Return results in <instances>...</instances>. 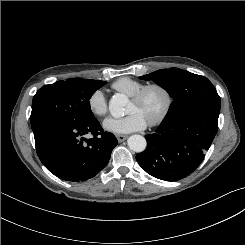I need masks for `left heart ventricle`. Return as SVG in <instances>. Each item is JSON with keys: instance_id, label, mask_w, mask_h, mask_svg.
<instances>
[{"instance_id": "obj_1", "label": "left heart ventricle", "mask_w": 245, "mask_h": 245, "mask_svg": "<svg viewBox=\"0 0 245 245\" xmlns=\"http://www.w3.org/2000/svg\"><path fill=\"white\" fill-rule=\"evenodd\" d=\"M164 106V97L158 91H152L148 94L146 99L140 103H134L130 101L128 106V112H138L147 121L156 117Z\"/></svg>"}]
</instances>
